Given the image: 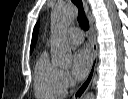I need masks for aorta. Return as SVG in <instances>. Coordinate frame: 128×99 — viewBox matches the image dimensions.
I'll use <instances>...</instances> for the list:
<instances>
[{"label": "aorta", "mask_w": 128, "mask_h": 99, "mask_svg": "<svg viewBox=\"0 0 128 99\" xmlns=\"http://www.w3.org/2000/svg\"><path fill=\"white\" fill-rule=\"evenodd\" d=\"M75 18V12L68 5L56 6L51 13V26L54 35L51 43V56L54 64L58 66H69L72 63V51L63 38L62 31ZM84 99H94V93L90 92Z\"/></svg>", "instance_id": "1"}]
</instances>
